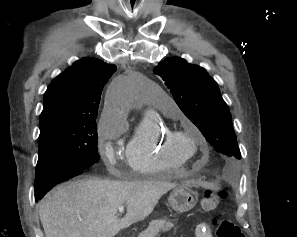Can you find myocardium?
<instances>
[{
    "label": "myocardium",
    "mask_w": 297,
    "mask_h": 237,
    "mask_svg": "<svg viewBox=\"0 0 297 237\" xmlns=\"http://www.w3.org/2000/svg\"><path fill=\"white\" fill-rule=\"evenodd\" d=\"M163 141L167 149L172 150L187 160L197 154L199 150V139L184 131H168L164 134ZM191 146V151H186V145Z\"/></svg>",
    "instance_id": "myocardium-1"
}]
</instances>
